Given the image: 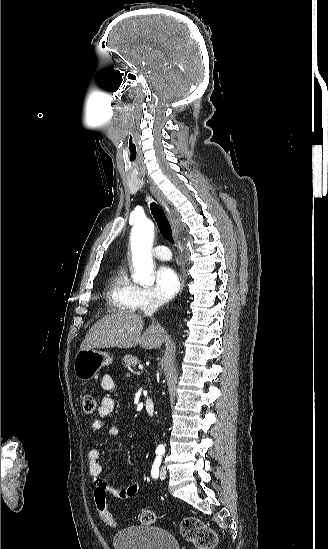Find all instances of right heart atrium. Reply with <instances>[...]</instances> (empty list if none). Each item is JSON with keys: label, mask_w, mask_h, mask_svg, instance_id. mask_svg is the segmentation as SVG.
I'll list each match as a JSON object with an SVG mask.
<instances>
[{"label": "right heart atrium", "mask_w": 328, "mask_h": 549, "mask_svg": "<svg viewBox=\"0 0 328 549\" xmlns=\"http://www.w3.org/2000/svg\"><path fill=\"white\" fill-rule=\"evenodd\" d=\"M141 296L144 303H163V300L152 287L141 288Z\"/></svg>", "instance_id": "right-heart-atrium-1"}]
</instances>
